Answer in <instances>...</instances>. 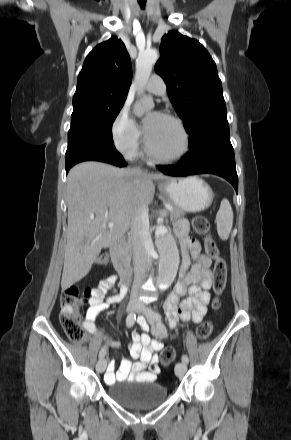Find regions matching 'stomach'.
<instances>
[{"mask_svg": "<svg viewBox=\"0 0 291 440\" xmlns=\"http://www.w3.org/2000/svg\"><path fill=\"white\" fill-rule=\"evenodd\" d=\"M159 190L177 208L185 212H200L213 202L211 187L201 178L191 176L181 179H167Z\"/></svg>", "mask_w": 291, "mask_h": 440, "instance_id": "0dacf381", "label": "stomach"}]
</instances>
